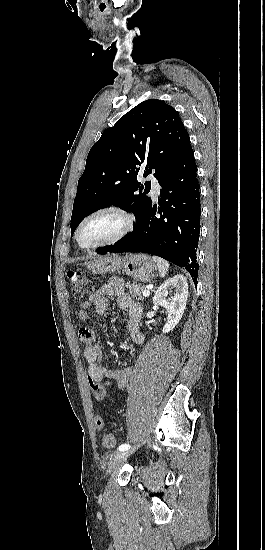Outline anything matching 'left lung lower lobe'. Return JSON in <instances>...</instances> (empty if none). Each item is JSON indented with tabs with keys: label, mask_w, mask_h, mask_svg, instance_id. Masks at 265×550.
<instances>
[{
	"label": "left lung lower lobe",
	"mask_w": 265,
	"mask_h": 550,
	"mask_svg": "<svg viewBox=\"0 0 265 550\" xmlns=\"http://www.w3.org/2000/svg\"><path fill=\"white\" fill-rule=\"evenodd\" d=\"M161 200L149 207L133 232L120 242L98 248L99 254L144 252L184 267L197 283L200 233V193L197 166L190 143L159 180Z\"/></svg>",
	"instance_id": "1"
}]
</instances>
